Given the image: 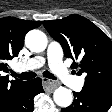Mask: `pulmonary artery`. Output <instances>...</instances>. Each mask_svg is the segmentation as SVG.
Masks as SVG:
<instances>
[{"instance_id":"1","label":"pulmonary artery","mask_w":112,"mask_h":112,"mask_svg":"<svg viewBox=\"0 0 112 112\" xmlns=\"http://www.w3.org/2000/svg\"><path fill=\"white\" fill-rule=\"evenodd\" d=\"M63 49L62 46L52 41L49 43L46 57L37 56L29 59L26 62H19L15 65V69L19 72H23L30 69L41 67L45 62L48 63L51 71L59 78L63 83L68 85L71 89L79 91L83 86L81 78L73 76L69 73L67 68L64 66L63 61Z\"/></svg>"}]
</instances>
